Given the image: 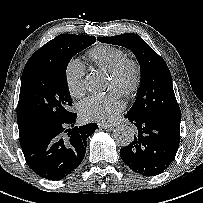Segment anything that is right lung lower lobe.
Segmentation results:
<instances>
[{
    "label": "right lung lower lobe",
    "mask_w": 203,
    "mask_h": 203,
    "mask_svg": "<svg viewBox=\"0 0 203 203\" xmlns=\"http://www.w3.org/2000/svg\"><path fill=\"white\" fill-rule=\"evenodd\" d=\"M76 117V113H71L60 122L20 136L26 162L40 177L61 180L82 162L87 138L98 126L96 123L74 126Z\"/></svg>",
    "instance_id": "98d812e1"
}]
</instances>
